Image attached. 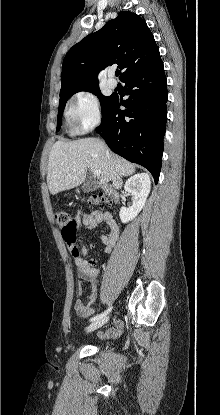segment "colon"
<instances>
[{"instance_id":"1","label":"colon","mask_w":220,"mask_h":415,"mask_svg":"<svg viewBox=\"0 0 220 415\" xmlns=\"http://www.w3.org/2000/svg\"><path fill=\"white\" fill-rule=\"evenodd\" d=\"M113 202V197L110 194L100 192L98 194L93 195L90 199H88V204H95L101 206H108L111 205ZM55 221L56 223L62 228L63 233L68 234L69 236H73L75 232V223L74 218H72L71 214L66 210H57L55 212Z\"/></svg>"}]
</instances>
